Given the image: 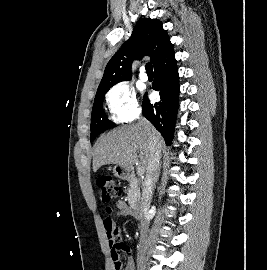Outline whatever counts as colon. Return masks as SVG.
Returning a JSON list of instances; mask_svg holds the SVG:
<instances>
[{
	"instance_id": "colon-1",
	"label": "colon",
	"mask_w": 267,
	"mask_h": 270,
	"mask_svg": "<svg viewBox=\"0 0 267 270\" xmlns=\"http://www.w3.org/2000/svg\"><path fill=\"white\" fill-rule=\"evenodd\" d=\"M96 183L103 203H108L121 195L119 185L111 176H100L98 177ZM113 267L114 269H121V261L119 258H116L113 261Z\"/></svg>"
}]
</instances>
